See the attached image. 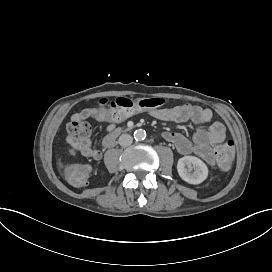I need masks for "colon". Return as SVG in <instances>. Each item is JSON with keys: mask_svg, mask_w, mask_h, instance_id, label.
<instances>
[{"mask_svg": "<svg viewBox=\"0 0 272 272\" xmlns=\"http://www.w3.org/2000/svg\"><path fill=\"white\" fill-rule=\"evenodd\" d=\"M114 105L112 106V112L108 116L113 122H121L126 120L133 112L138 110L158 109L162 107L165 100L161 97H137V98H126L121 95H117L113 99ZM96 103L100 107L107 105L108 100L104 96L97 98ZM92 108H85L82 112L78 111L69 116V123L67 125V148L71 150L70 154L72 157H77L79 152L76 148L82 149L87 146L88 140L91 133L90 125L82 120L84 116H90L93 114ZM235 154V143L228 140L225 145L220 146L217 149V163L221 171L228 170L234 159ZM66 176L71 178L74 182H83L88 175L87 169L82 166L74 164L68 165L65 170Z\"/></svg>", "mask_w": 272, "mask_h": 272, "instance_id": "5ec220e1", "label": "colon"}]
</instances>
